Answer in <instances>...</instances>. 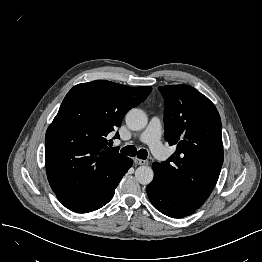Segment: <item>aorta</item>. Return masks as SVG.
Returning a JSON list of instances; mask_svg holds the SVG:
<instances>
[{
    "instance_id": "1",
    "label": "aorta",
    "mask_w": 262,
    "mask_h": 262,
    "mask_svg": "<svg viewBox=\"0 0 262 262\" xmlns=\"http://www.w3.org/2000/svg\"><path fill=\"white\" fill-rule=\"evenodd\" d=\"M147 123V115L141 109L132 108L126 114V124L131 130H142L146 127ZM153 177V169L149 166H140L135 171V178L142 185L150 184Z\"/></svg>"
}]
</instances>
